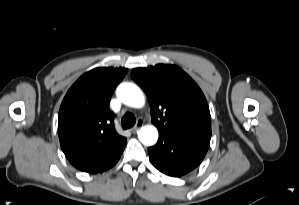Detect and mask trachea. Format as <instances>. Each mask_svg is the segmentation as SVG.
<instances>
[{"label":"trachea","instance_id":"obj_1","mask_svg":"<svg viewBox=\"0 0 299 205\" xmlns=\"http://www.w3.org/2000/svg\"><path fill=\"white\" fill-rule=\"evenodd\" d=\"M136 119L132 113H125L124 116L121 119V125L123 129L131 128L135 125Z\"/></svg>","mask_w":299,"mask_h":205}]
</instances>
